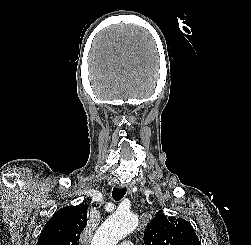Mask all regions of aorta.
<instances>
[{
	"label": "aorta",
	"mask_w": 251,
	"mask_h": 245,
	"mask_svg": "<svg viewBox=\"0 0 251 245\" xmlns=\"http://www.w3.org/2000/svg\"><path fill=\"white\" fill-rule=\"evenodd\" d=\"M138 225V218L121 210L112 214L96 231L91 245H116Z\"/></svg>",
	"instance_id": "1"
}]
</instances>
